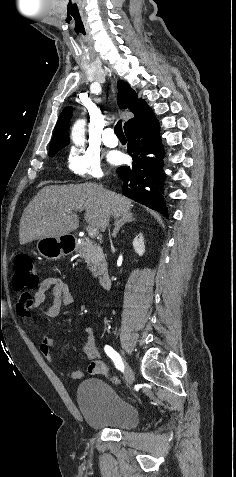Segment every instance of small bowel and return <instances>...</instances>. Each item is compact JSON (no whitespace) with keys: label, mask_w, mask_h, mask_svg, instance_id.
<instances>
[{"label":"small bowel","mask_w":236,"mask_h":477,"mask_svg":"<svg viewBox=\"0 0 236 477\" xmlns=\"http://www.w3.org/2000/svg\"><path fill=\"white\" fill-rule=\"evenodd\" d=\"M51 291V302L44 308L41 305L46 299V293ZM74 302V295L71 287L60 278L47 277L44 278L38 287V290L33 294L31 303L28 305L19 304L17 311L20 316L31 319V312L39 310L43 317L53 319L58 316L63 306H69ZM57 346L56 343L47 337L41 335L40 352L45 359L51 363L55 362V356L52 348ZM82 353L90 360L87 372L90 375H104L108 376L109 368L101 360H99L100 352L97 347L95 331L93 327H86L84 330V344L82 346ZM66 376L72 380L83 378L84 372L81 370H67Z\"/></svg>","instance_id":"1"}]
</instances>
